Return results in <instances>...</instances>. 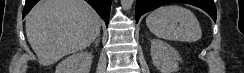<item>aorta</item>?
I'll use <instances>...</instances> for the list:
<instances>
[{"label": "aorta", "mask_w": 244, "mask_h": 73, "mask_svg": "<svg viewBox=\"0 0 244 73\" xmlns=\"http://www.w3.org/2000/svg\"><path fill=\"white\" fill-rule=\"evenodd\" d=\"M134 3V0H121V6L124 10H130L132 5Z\"/></svg>", "instance_id": "1"}]
</instances>
